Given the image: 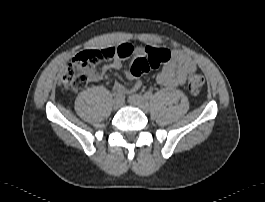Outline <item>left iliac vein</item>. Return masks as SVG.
<instances>
[{
  "label": "left iliac vein",
  "instance_id": "1",
  "mask_svg": "<svg viewBox=\"0 0 265 202\" xmlns=\"http://www.w3.org/2000/svg\"><path fill=\"white\" fill-rule=\"evenodd\" d=\"M128 102L134 106V107H137L139 108L140 110H142L143 112H148L149 111V103L148 101L142 97L141 95H138V94H131L129 97H128Z\"/></svg>",
  "mask_w": 265,
  "mask_h": 202
}]
</instances>
